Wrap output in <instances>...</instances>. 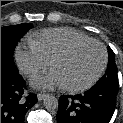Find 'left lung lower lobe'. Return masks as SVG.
<instances>
[{
    "label": "left lung lower lobe",
    "mask_w": 123,
    "mask_h": 123,
    "mask_svg": "<svg viewBox=\"0 0 123 123\" xmlns=\"http://www.w3.org/2000/svg\"><path fill=\"white\" fill-rule=\"evenodd\" d=\"M118 89L93 86L84 94L61 96L57 123H109Z\"/></svg>",
    "instance_id": "0a47b994"
}]
</instances>
